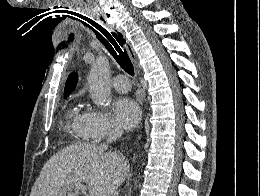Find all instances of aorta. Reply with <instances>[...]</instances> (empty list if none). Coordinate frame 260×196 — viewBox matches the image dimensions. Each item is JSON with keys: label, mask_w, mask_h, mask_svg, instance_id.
Wrapping results in <instances>:
<instances>
[{"label": "aorta", "mask_w": 260, "mask_h": 196, "mask_svg": "<svg viewBox=\"0 0 260 196\" xmlns=\"http://www.w3.org/2000/svg\"><path fill=\"white\" fill-rule=\"evenodd\" d=\"M110 73L107 57L99 55L92 63L87 78L89 92L96 105L106 106L111 102Z\"/></svg>", "instance_id": "1"}]
</instances>
